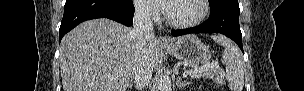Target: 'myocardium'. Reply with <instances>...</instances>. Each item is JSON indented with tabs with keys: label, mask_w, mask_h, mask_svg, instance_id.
Here are the masks:
<instances>
[{
	"label": "myocardium",
	"mask_w": 304,
	"mask_h": 91,
	"mask_svg": "<svg viewBox=\"0 0 304 91\" xmlns=\"http://www.w3.org/2000/svg\"><path fill=\"white\" fill-rule=\"evenodd\" d=\"M171 1H175V0H171ZM198 2L201 6V12L197 18L190 20V21H185V22L172 20L167 14V7H166L164 9L166 22L172 27L182 28V29L192 28V27H195V26L201 24L206 19L207 15L209 13V1L208 0H198Z\"/></svg>",
	"instance_id": "f54148a6"
}]
</instances>
